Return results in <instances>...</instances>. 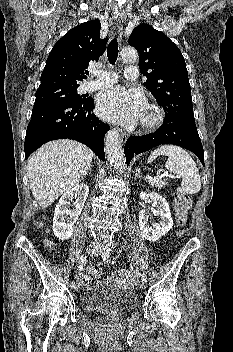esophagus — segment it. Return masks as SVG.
<instances>
[{"instance_id": "esophagus-1", "label": "esophagus", "mask_w": 233, "mask_h": 352, "mask_svg": "<svg viewBox=\"0 0 233 352\" xmlns=\"http://www.w3.org/2000/svg\"><path fill=\"white\" fill-rule=\"evenodd\" d=\"M124 21H125V12L120 11L117 15V38H118V40L121 39ZM127 139H128V134L124 131H121V141L125 142Z\"/></svg>"}]
</instances>
